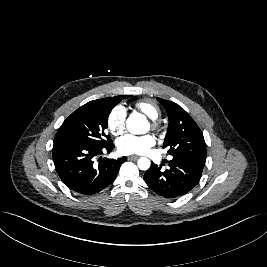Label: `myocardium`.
Returning <instances> with one entry per match:
<instances>
[{
	"mask_svg": "<svg viewBox=\"0 0 267 267\" xmlns=\"http://www.w3.org/2000/svg\"><path fill=\"white\" fill-rule=\"evenodd\" d=\"M151 127H152L153 129H157V128H158V122H157V120H152V122H151Z\"/></svg>",
	"mask_w": 267,
	"mask_h": 267,
	"instance_id": "myocardium-1",
	"label": "myocardium"
}]
</instances>
